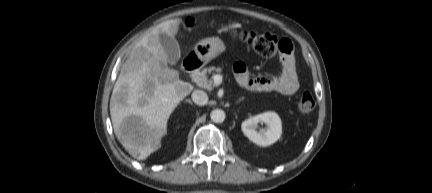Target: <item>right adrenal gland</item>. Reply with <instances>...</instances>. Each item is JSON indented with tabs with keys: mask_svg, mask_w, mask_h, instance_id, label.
I'll return each mask as SVG.
<instances>
[{
	"mask_svg": "<svg viewBox=\"0 0 432 193\" xmlns=\"http://www.w3.org/2000/svg\"><path fill=\"white\" fill-rule=\"evenodd\" d=\"M187 102H189L192 105V102L190 100H186Z\"/></svg>",
	"mask_w": 432,
	"mask_h": 193,
	"instance_id": "2a0ac1e0",
	"label": "right adrenal gland"
}]
</instances>
